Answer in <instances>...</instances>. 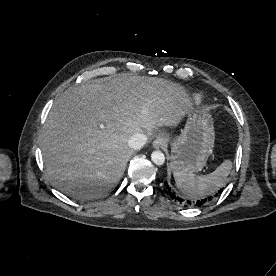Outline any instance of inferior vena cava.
I'll return each instance as SVG.
<instances>
[{
	"label": "inferior vena cava",
	"mask_w": 276,
	"mask_h": 276,
	"mask_svg": "<svg viewBox=\"0 0 276 276\" xmlns=\"http://www.w3.org/2000/svg\"><path fill=\"white\" fill-rule=\"evenodd\" d=\"M147 142L145 134H134L128 139V145L134 150L141 149Z\"/></svg>",
	"instance_id": "inferior-vena-cava-1"
}]
</instances>
